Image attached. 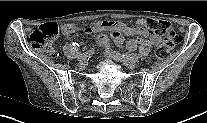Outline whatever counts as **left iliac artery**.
I'll return each instance as SVG.
<instances>
[{
	"label": "left iliac artery",
	"instance_id": "left-iliac-artery-1",
	"mask_svg": "<svg viewBox=\"0 0 207 123\" xmlns=\"http://www.w3.org/2000/svg\"><path fill=\"white\" fill-rule=\"evenodd\" d=\"M116 55H119L118 53H115ZM121 57H123L126 60L132 61V62H137L138 61V57L136 54H126V55H122Z\"/></svg>",
	"mask_w": 207,
	"mask_h": 123
}]
</instances>
